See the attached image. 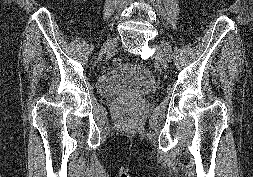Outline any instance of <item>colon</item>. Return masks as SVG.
I'll list each match as a JSON object with an SVG mask.
<instances>
[{"label":"colon","mask_w":253,"mask_h":177,"mask_svg":"<svg viewBox=\"0 0 253 177\" xmlns=\"http://www.w3.org/2000/svg\"><path fill=\"white\" fill-rule=\"evenodd\" d=\"M112 62H113V65H114V66H119V65H121V63H122L121 59H120V58H117V57L114 58Z\"/></svg>","instance_id":"obj_1"}]
</instances>
